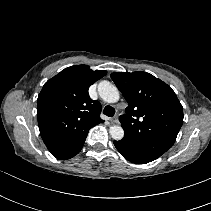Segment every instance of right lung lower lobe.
<instances>
[{
    "label": "right lung lower lobe",
    "mask_w": 211,
    "mask_h": 211,
    "mask_svg": "<svg viewBox=\"0 0 211 211\" xmlns=\"http://www.w3.org/2000/svg\"><path fill=\"white\" fill-rule=\"evenodd\" d=\"M83 144H84V143H83ZM81 149H82V147H81ZM81 149H80V150H81ZM80 150L77 152V154L80 152Z\"/></svg>",
    "instance_id": "98d812e1"
}]
</instances>
